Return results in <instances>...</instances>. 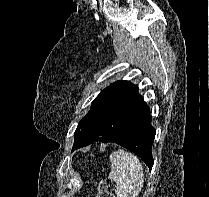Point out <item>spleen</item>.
I'll return each mask as SVG.
<instances>
[{"instance_id":"3e777b00","label":"spleen","mask_w":209,"mask_h":197,"mask_svg":"<svg viewBox=\"0 0 209 197\" xmlns=\"http://www.w3.org/2000/svg\"><path fill=\"white\" fill-rule=\"evenodd\" d=\"M109 178L115 185L117 197H137L144 183L143 166L139 159L122 149L110 155Z\"/></svg>"}]
</instances>
